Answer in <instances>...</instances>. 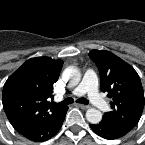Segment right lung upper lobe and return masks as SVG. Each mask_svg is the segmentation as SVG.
<instances>
[{"label": "right lung upper lobe", "mask_w": 145, "mask_h": 145, "mask_svg": "<svg viewBox=\"0 0 145 145\" xmlns=\"http://www.w3.org/2000/svg\"><path fill=\"white\" fill-rule=\"evenodd\" d=\"M63 62L49 57L27 60L5 82L2 103L12 126L25 134L48 124L66 106L53 102V84Z\"/></svg>", "instance_id": "1"}]
</instances>
